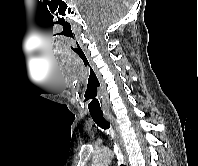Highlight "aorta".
<instances>
[{
  "instance_id": "762f6f07",
  "label": "aorta",
  "mask_w": 198,
  "mask_h": 166,
  "mask_svg": "<svg viewBox=\"0 0 198 166\" xmlns=\"http://www.w3.org/2000/svg\"><path fill=\"white\" fill-rule=\"evenodd\" d=\"M113 157V153L109 149H103L97 152L94 157L91 166H109Z\"/></svg>"
}]
</instances>
